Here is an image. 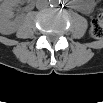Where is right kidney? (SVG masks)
<instances>
[{"instance_id":"obj_1","label":"right kidney","mask_w":103,"mask_h":103,"mask_svg":"<svg viewBox=\"0 0 103 103\" xmlns=\"http://www.w3.org/2000/svg\"><path fill=\"white\" fill-rule=\"evenodd\" d=\"M19 3L18 0H4L0 5V32L8 35L17 31L18 20H11L13 7Z\"/></svg>"}]
</instances>
